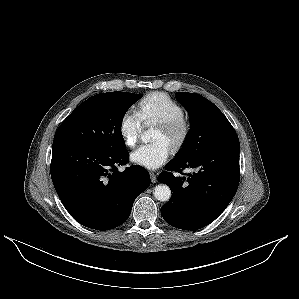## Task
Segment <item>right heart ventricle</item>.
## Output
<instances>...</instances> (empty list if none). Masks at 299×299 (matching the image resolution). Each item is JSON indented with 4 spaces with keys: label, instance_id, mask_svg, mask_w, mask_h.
Returning <instances> with one entry per match:
<instances>
[{
    "label": "right heart ventricle",
    "instance_id": "obj_1",
    "mask_svg": "<svg viewBox=\"0 0 299 299\" xmlns=\"http://www.w3.org/2000/svg\"><path fill=\"white\" fill-rule=\"evenodd\" d=\"M137 111L146 125L184 117L183 108L162 92L146 95L139 102Z\"/></svg>",
    "mask_w": 299,
    "mask_h": 299
}]
</instances>
